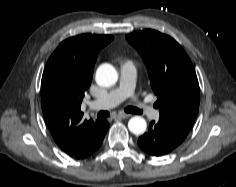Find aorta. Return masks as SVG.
<instances>
[{
  "instance_id": "aorta-1",
  "label": "aorta",
  "mask_w": 236,
  "mask_h": 187,
  "mask_svg": "<svg viewBox=\"0 0 236 187\" xmlns=\"http://www.w3.org/2000/svg\"><path fill=\"white\" fill-rule=\"evenodd\" d=\"M95 80L99 86L110 87L117 82L118 73L112 65L105 63L98 67ZM146 127L145 119L140 116L132 117L128 122L130 132L136 135L143 134Z\"/></svg>"
}]
</instances>
